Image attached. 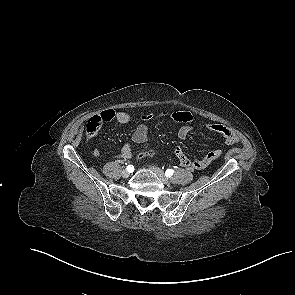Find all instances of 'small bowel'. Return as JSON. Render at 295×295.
I'll list each match as a JSON object with an SVG mask.
<instances>
[{
	"label": "small bowel",
	"mask_w": 295,
	"mask_h": 295,
	"mask_svg": "<svg viewBox=\"0 0 295 295\" xmlns=\"http://www.w3.org/2000/svg\"><path fill=\"white\" fill-rule=\"evenodd\" d=\"M166 115L173 122L180 123L181 127L178 131V137L180 139H186L194 129V117L188 111H178L164 109L159 114L154 113H141L139 114L143 123L139 124L135 129L132 140L135 143H144L148 139V122L153 121L156 117ZM132 114L128 111L122 109H109L102 111L97 117L99 118L101 124L117 121L118 123L125 124L131 121ZM207 128L215 133L223 136L225 143L227 145H234L238 143L239 139L236 133L229 127L219 124L211 123L207 124ZM221 150H213L207 153L201 159L191 160L189 159L180 147L175 148V155L177 156L179 163L182 167L188 170H202L208 167L214 160L221 156ZM94 156L99 157L100 151L95 149L93 152ZM132 156V150L130 143H125L121 149V158L123 161H128Z\"/></svg>",
	"instance_id": "1"
}]
</instances>
